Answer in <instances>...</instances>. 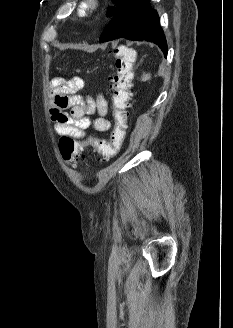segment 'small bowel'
Masks as SVG:
<instances>
[{
    "label": "small bowel",
    "instance_id": "1",
    "mask_svg": "<svg viewBox=\"0 0 233 328\" xmlns=\"http://www.w3.org/2000/svg\"><path fill=\"white\" fill-rule=\"evenodd\" d=\"M84 87L81 77L70 79L62 77L51 81L52 108L51 119L57 134L71 136L77 140H86V130L89 127L98 132H106L111 128V122L106 118L108 103L103 95L96 98L81 97L77 92ZM69 109V112L65 110ZM96 114L95 118H91Z\"/></svg>",
    "mask_w": 233,
    "mask_h": 328
}]
</instances>
